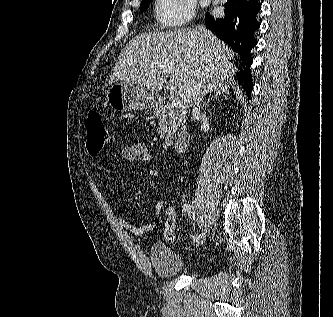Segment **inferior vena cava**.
<instances>
[{
    "label": "inferior vena cava",
    "mask_w": 333,
    "mask_h": 317,
    "mask_svg": "<svg viewBox=\"0 0 333 317\" xmlns=\"http://www.w3.org/2000/svg\"><path fill=\"white\" fill-rule=\"evenodd\" d=\"M198 30L200 32L204 31V29L201 28V27H199ZM203 95H204V90L203 89H201L199 91V93L196 95V98L194 100V107H193V110H192L193 118H195L200 113V103H201V99L203 98Z\"/></svg>",
    "instance_id": "inferior-vena-cava-1"
}]
</instances>
